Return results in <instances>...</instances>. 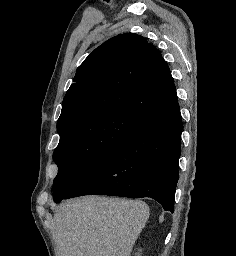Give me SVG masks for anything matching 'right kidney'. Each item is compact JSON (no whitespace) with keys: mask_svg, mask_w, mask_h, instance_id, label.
<instances>
[{"mask_svg":"<svg viewBox=\"0 0 236 256\" xmlns=\"http://www.w3.org/2000/svg\"><path fill=\"white\" fill-rule=\"evenodd\" d=\"M140 252H141V250H138V254H137V256H140Z\"/></svg>","mask_w":236,"mask_h":256,"instance_id":"ca27d5eb","label":"right kidney"}]
</instances>
